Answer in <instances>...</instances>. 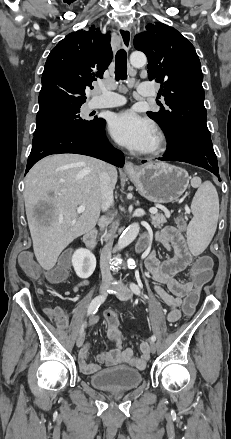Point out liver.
<instances>
[{
    "label": "liver",
    "mask_w": 231,
    "mask_h": 439,
    "mask_svg": "<svg viewBox=\"0 0 231 439\" xmlns=\"http://www.w3.org/2000/svg\"><path fill=\"white\" fill-rule=\"evenodd\" d=\"M101 161L78 154L43 158L28 172L24 201L33 249L40 266L51 270L60 253L77 237L91 231L100 216ZM113 188L118 173L111 166ZM84 205L85 211L76 212Z\"/></svg>",
    "instance_id": "1"
}]
</instances>
